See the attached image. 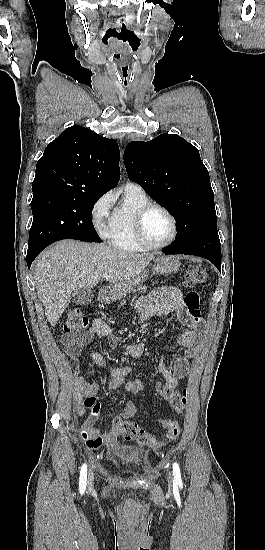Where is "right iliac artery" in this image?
<instances>
[{
  "label": "right iliac artery",
  "mask_w": 265,
  "mask_h": 550,
  "mask_svg": "<svg viewBox=\"0 0 265 550\" xmlns=\"http://www.w3.org/2000/svg\"><path fill=\"white\" fill-rule=\"evenodd\" d=\"M86 481H87V465L83 464L80 471V478H79V486H80V492L83 493L86 489Z\"/></svg>",
  "instance_id": "right-iliac-artery-1"
}]
</instances>
